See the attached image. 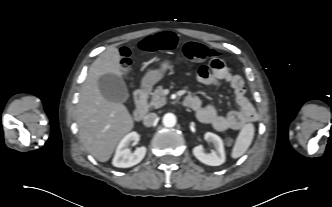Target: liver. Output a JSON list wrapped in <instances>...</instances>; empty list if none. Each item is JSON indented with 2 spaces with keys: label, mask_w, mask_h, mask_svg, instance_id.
Instances as JSON below:
<instances>
[{
  "label": "liver",
  "mask_w": 332,
  "mask_h": 207,
  "mask_svg": "<svg viewBox=\"0 0 332 207\" xmlns=\"http://www.w3.org/2000/svg\"><path fill=\"white\" fill-rule=\"evenodd\" d=\"M120 60V52L116 47L99 55L89 68L77 106L80 140L100 162L110 159L119 141L134 127L127 108L120 102L106 100L98 87V79L102 75H123Z\"/></svg>",
  "instance_id": "6515ba94"
}]
</instances>
